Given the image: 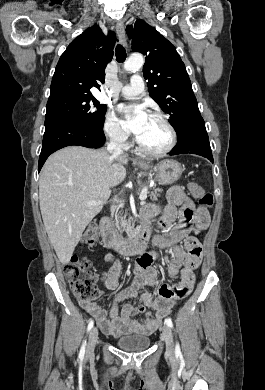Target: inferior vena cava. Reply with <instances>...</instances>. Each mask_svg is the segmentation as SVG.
Instances as JSON below:
<instances>
[{"label":"inferior vena cava","instance_id":"obj_1","mask_svg":"<svg viewBox=\"0 0 265 390\" xmlns=\"http://www.w3.org/2000/svg\"><path fill=\"white\" fill-rule=\"evenodd\" d=\"M107 151L114 156H119L123 154L121 144H119L114 139H111L110 142L107 144Z\"/></svg>","mask_w":265,"mask_h":390}]
</instances>
